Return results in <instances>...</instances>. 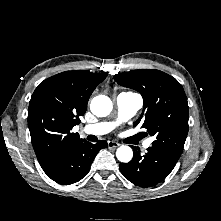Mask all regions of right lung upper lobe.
Segmentation results:
<instances>
[{"mask_svg": "<svg viewBox=\"0 0 221 221\" xmlns=\"http://www.w3.org/2000/svg\"><path fill=\"white\" fill-rule=\"evenodd\" d=\"M107 73L65 71L35 89L28 110V126L37 159L42 166L84 141L71 132L87 110L88 100Z\"/></svg>", "mask_w": 221, "mask_h": 221, "instance_id": "cb5924a9", "label": "right lung upper lobe"}]
</instances>
